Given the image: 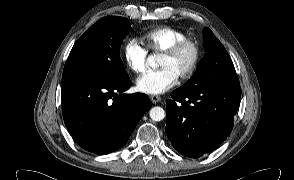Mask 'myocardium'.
Segmentation results:
<instances>
[{"instance_id": "1", "label": "myocardium", "mask_w": 294, "mask_h": 180, "mask_svg": "<svg viewBox=\"0 0 294 180\" xmlns=\"http://www.w3.org/2000/svg\"><path fill=\"white\" fill-rule=\"evenodd\" d=\"M185 48H190L192 50V60L187 70L179 76L181 80L191 78L196 72L201 58L199 44L194 40L186 38L175 42L171 47L162 52V55L175 57Z\"/></svg>"}]
</instances>
